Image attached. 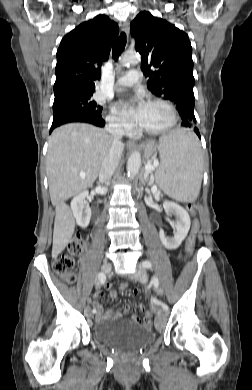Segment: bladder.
Returning <instances> with one entry per match:
<instances>
[{"label": "bladder", "instance_id": "31cf9c89", "mask_svg": "<svg viewBox=\"0 0 252 390\" xmlns=\"http://www.w3.org/2000/svg\"><path fill=\"white\" fill-rule=\"evenodd\" d=\"M93 337L101 344L124 354H134L149 346L155 340L154 332L129 321H97Z\"/></svg>", "mask_w": 252, "mask_h": 390}]
</instances>
